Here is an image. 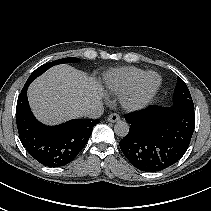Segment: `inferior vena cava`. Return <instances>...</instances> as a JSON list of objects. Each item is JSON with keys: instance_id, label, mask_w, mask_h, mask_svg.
Returning a JSON list of instances; mask_svg holds the SVG:
<instances>
[{"instance_id": "obj_1", "label": "inferior vena cava", "mask_w": 211, "mask_h": 211, "mask_svg": "<svg viewBox=\"0 0 211 211\" xmlns=\"http://www.w3.org/2000/svg\"><path fill=\"white\" fill-rule=\"evenodd\" d=\"M104 111L103 104L101 102H97L95 104L90 105L84 112L83 116L96 119L99 118Z\"/></svg>"}]
</instances>
